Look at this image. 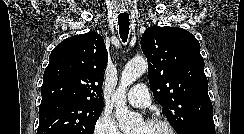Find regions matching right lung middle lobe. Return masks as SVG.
<instances>
[{"mask_svg": "<svg viewBox=\"0 0 244 134\" xmlns=\"http://www.w3.org/2000/svg\"><path fill=\"white\" fill-rule=\"evenodd\" d=\"M103 104L56 98L41 102L37 134H93Z\"/></svg>", "mask_w": 244, "mask_h": 134, "instance_id": "right-lung-middle-lobe-1", "label": "right lung middle lobe"}]
</instances>
